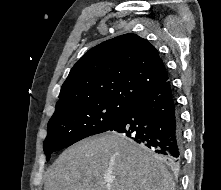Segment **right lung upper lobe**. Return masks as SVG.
<instances>
[{"label":"right lung upper lobe","instance_id":"cb5924a9","mask_svg":"<svg viewBox=\"0 0 221 190\" xmlns=\"http://www.w3.org/2000/svg\"><path fill=\"white\" fill-rule=\"evenodd\" d=\"M168 80L157 49L135 34H124L93 47L77 61L61 87L56 110L103 99L131 103Z\"/></svg>","mask_w":221,"mask_h":190}]
</instances>
